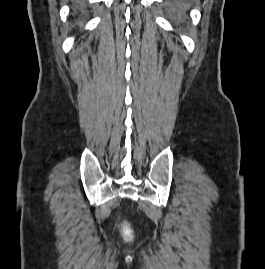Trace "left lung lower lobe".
<instances>
[{
  "label": "left lung lower lobe",
  "mask_w": 265,
  "mask_h": 269,
  "mask_svg": "<svg viewBox=\"0 0 265 269\" xmlns=\"http://www.w3.org/2000/svg\"><path fill=\"white\" fill-rule=\"evenodd\" d=\"M167 9L172 15H183L186 13L189 0H166Z\"/></svg>",
  "instance_id": "left-lung-lower-lobe-1"
}]
</instances>
